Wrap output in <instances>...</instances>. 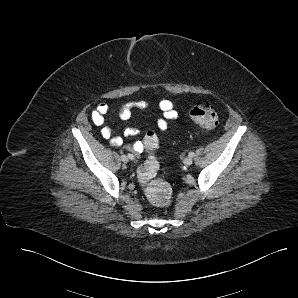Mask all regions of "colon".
<instances>
[{
    "label": "colon",
    "instance_id": "colon-1",
    "mask_svg": "<svg viewBox=\"0 0 298 298\" xmlns=\"http://www.w3.org/2000/svg\"><path fill=\"white\" fill-rule=\"evenodd\" d=\"M191 119L201 128L213 130L217 127L219 117L211 105H197L190 109ZM159 140L154 132H147L143 139V149L149 154L137 169V178L144 189L145 196L155 206L166 207L173 199L170 185L157 178L159 163L155 157Z\"/></svg>",
    "mask_w": 298,
    "mask_h": 298
}]
</instances>
